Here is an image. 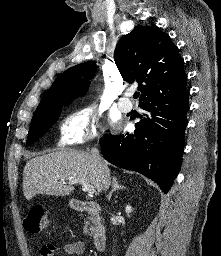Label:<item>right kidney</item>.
Wrapping results in <instances>:
<instances>
[{"label":"right kidney","mask_w":221,"mask_h":256,"mask_svg":"<svg viewBox=\"0 0 221 256\" xmlns=\"http://www.w3.org/2000/svg\"><path fill=\"white\" fill-rule=\"evenodd\" d=\"M125 211H126L127 215L129 216V214L132 212V207L131 206H127L125 208Z\"/></svg>","instance_id":"1"}]
</instances>
